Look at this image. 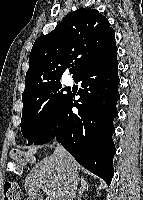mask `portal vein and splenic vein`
Instances as JSON below:
<instances>
[{
	"mask_svg": "<svg viewBox=\"0 0 143 200\" xmlns=\"http://www.w3.org/2000/svg\"><path fill=\"white\" fill-rule=\"evenodd\" d=\"M44 191H46V190H44ZM47 194H48V195H54L53 192H47Z\"/></svg>",
	"mask_w": 143,
	"mask_h": 200,
	"instance_id": "1",
	"label": "portal vein and splenic vein"
}]
</instances>
